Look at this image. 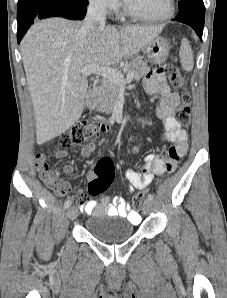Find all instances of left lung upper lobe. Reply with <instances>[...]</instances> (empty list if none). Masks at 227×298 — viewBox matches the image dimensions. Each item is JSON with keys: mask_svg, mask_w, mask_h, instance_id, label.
Masks as SVG:
<instances>
[{"mask_svg": "<svg viewBox=\"0 0 227 298\" xmlns=\"http://www.w3.org/2000/svg\"><path fill=\"white\" fill-rule=\"evenodd\" d=\"M179 14L194 11L205 15L203 0H179Z\"/></svg>", "mask_w": 227, "mask_h": 298, "instance_id": "obj_1", "label": "left lung upper lobe"}]
</instances>
